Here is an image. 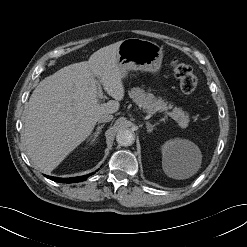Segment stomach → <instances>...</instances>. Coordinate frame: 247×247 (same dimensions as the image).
Segmentation results:
<instances>
[{"instance_id": "1", "label": "stomach", "mask_w": 247, "mask_h": 247, "mask_svg": "<svg viewBox=\"0 0 247 247\" xmlns=\"http://www.w3.org/2000/svg\"><path fill=\"white\" fill-rule=\"evenodd\" d=\"M162 58V47L155 42L139 38L122 40L117 52V63L122 77L130 70L157 73Z\"/></svg>"}]
</instances>
